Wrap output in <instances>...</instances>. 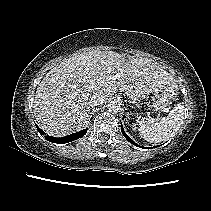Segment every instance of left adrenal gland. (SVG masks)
Returning <instances> with one entry per match:
<instances>
[{
	"label": "left adrenal gland",
	"mask_w": 211,
	"mask_h": 211,
	"mask_svg": "<svg viewBox=\"0 0 211 211\" xmlns=\"http://www.w3.org/2000/svg\"><path fill=\"white\" fill-rule=\"evenodd\" d=\"M130 115H133V113L132 112H128L126 117L129 119Z\"/></svg>",
	"instance_id": "left-adrenal-gland-1"
}]
</instances>
